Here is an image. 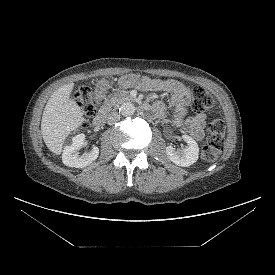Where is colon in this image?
<instances>
[{
  "label": "colon",
  "mask_w": 275,
  "mask_h": 275,
  "mask_svg": "<svg viewBox=\"0 0 275 275\" xmlns=\"http://www.w3.org/2000/svg\"><path fill=\"white\" fill-rule=\"evenodd\" d=\"M78 105L83 110L86 117L94 115L96 102L92 96L91 89L88 86H82L75 94ZM214 97L201 87L193 90V107L196 111L212 109L215 106ZM208 139L202 148L203 159L212 162L218 159L224 145L225 125L222 119L217 115L211 116L207 126Z\"/></svg>",
  "instance_id": "colon-1"
}]
</instances>
